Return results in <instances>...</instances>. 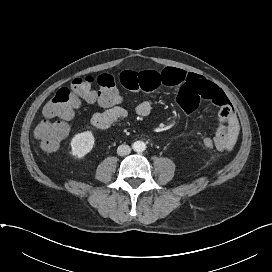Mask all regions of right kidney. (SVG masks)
<instances>
[{
	"label": "right kidney",
	"mask_w": 272,
	"mask_h": 272,
	"mask_svg": "<svg viewBox=\"0 0 272 272\" xmlns=\"http://www.w3.org/2000/svg\"><path fill=\"white\" fill-rule=\"evenodd\" d=\"M94 142L95 139L92 131L76 134L71 141V154L78 159L84 158L91 152Z\"/></svg>",
	"instance_id": "right-kidney-1"
}]
</instances>
